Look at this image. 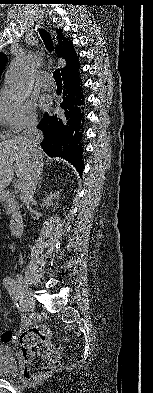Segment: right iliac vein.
<instances>
[{
    "label": "right iliac vein",
    "instance_id": "obj_1",
    "mask_svg": "<svg viewBox=\"0 0 153 393\" xmlns=\"http://www.w3.org/2000/svg\"><path fill=\"white\" fill-rule=\"evenodd\" d=\"M19 285H20V291L25 298V306L23 307L24 310L27 308L33 309L35 307V300L33 298V293L31 288L29 287L28 283L25 281V279L22 276H18L17 278Z\"/></svg>",
    "mask_w": 153,
    "mask_h": 393
}]
</instances>
